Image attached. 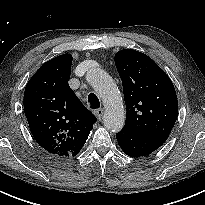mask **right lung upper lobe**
Listing matches in <instances>:
<instances>
[{
    "instance_id": "right-lung-upper-lobe-1",
    "label": "right lung upper lobe",
    "mask_w": 205,
    "mask_h": 205,
    "mask_svg": "<svg viewBox=\"0 0 205 205\" xmlns=\"http://www.w3.org/2000/svg\"><path fill=\"white\" fill-rule=\"evenodd\" d=\"M71 64V54L47 61L24 92V111L33 137L60 157L76 156L97 121L68 85Z\"/></svg>"
}]
</instances>
